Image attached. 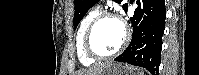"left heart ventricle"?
I'll return each instance as SVG.
<instances>
[{
    "label": "left heart ventricle",
    "instance_id": "obj_1",
    "mask_svg": "<svg viewBox=\"0 0 199 75\" xmlns=\"http://www.w3.org/2000/svg\"><path fill=\"white\" fill-rule=\"evenodd\" d=\"M123 35V28L118 21L105 19L92 34V48L99 54H109L121 44Z\"/></svg>",
    "mask_w": 199,
    "mask_h": 75
}]
</instances>
